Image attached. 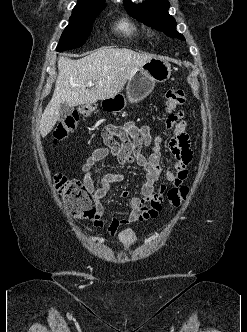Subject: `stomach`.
<instances>
[{
    "mask_svg": "<svg viewBox=\"0 0 247 332\" xmlns=\"http://www.w3.org/2000/svg\"><path fill=\"white\" fill-rule=\"evenodd\" d=\"M171 66L161 59L154 57L141 66L128 80L126 95L117 94L102 101L106 110L121 111L127 105L137 103L146 98L154 89L155 83L165 82L170 78Z\"/></svg>",
    "mask_w": 247,
    "mask_h": 332,
    "instance_id": "0dacf381",
    "label": "stomach"
}]
</instances>
